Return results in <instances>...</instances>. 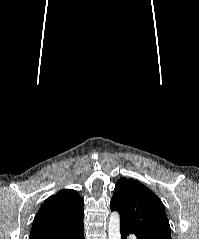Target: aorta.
I'll list each match as a JSON object with an SVG mask.
<instances>
[{"label": "aorta", "mask_w": 199, "mask_h": 239, "mask_svg": "<svg viewBox=\"0 0 199 239\" xmlns=\"http://www.w3.org/2000/svg\"><path fill=\"white\" fill-rule=\"evenodd\" d=\"M109 239H121L120 235V217L117 212H112L108 223Z\"/></svg>", "instance_id": "obj_1"}]
</instances>
